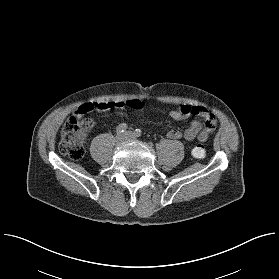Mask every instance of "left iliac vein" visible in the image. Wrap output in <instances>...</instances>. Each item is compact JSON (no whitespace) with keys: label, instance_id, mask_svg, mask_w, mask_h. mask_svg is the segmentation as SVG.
<instances>
[{"label":"left iliac vein","instance_id":"4c4485c4","mask_svg":"<svg viewBox=\"0 0 279 279\" xmlns=\"http://www.w3.org/2000/svg\"><path fill=\"white\" fill-rule=\"evenodd\" d=\"M124 137L125 140H136V136L131 131H126Z\"/></svg>","mask_w":279,"mask_h":279}]
</instances>
